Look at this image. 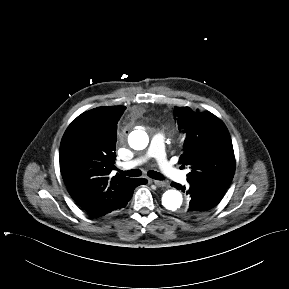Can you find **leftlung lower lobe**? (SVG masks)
<instances>
[{"label": "left lung lower lobe", "instance_id": "1", "mask_svg": "<svg viewBox=\"0 0 289 289\" xmlns=\"http://www.w3.org/2000/svg\"><path fill=\"white\" fill-rule=\"evenodd\" d=\"M171 185L183 192L186 190L180 184L173 182ZM186 193L191 197L189 206L184 211V215L188 217L203 215L216 206L224 195L223 191L199 184H190Z\"/></svg>", "mask_w": 289, "mask_h": 289}]
</instances>
